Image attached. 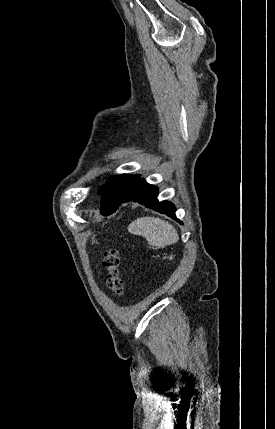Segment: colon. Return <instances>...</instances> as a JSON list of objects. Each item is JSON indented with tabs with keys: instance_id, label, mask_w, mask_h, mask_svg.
Instances as JSON below:
<instances>
[{
	"instance_id": "1",
	"label": "colon",
	"mask_w": 275,
	"mask_h": 429,
	"mask_svg": "<svg viewBox=\"0 0 275 429\" xmlns=\"http://www.w3.org/2000/svg\"><path fill=\"white\" fill-rule=\"evenodd\" d=\"M120 256L114 246H108L104 251L103 266L108 272L107 285L113 294L121 297L124 293V282L119 274Z\"/></svg>"
}]
</instances>
